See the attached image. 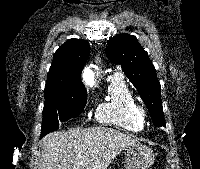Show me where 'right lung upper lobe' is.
<instances>
[{
	"instance_id": "obj_1",
	"label": "right lung upper lobe",
	"mask_w": 200,
	"mask_h": 169,
	"mask_svg": "<svg viewBox=\"0 0 200 169\" xmlns=\"http://www.w3.org/2000/svg\"><path fill=\"white\" fill-rule=\"evenodd\" d=\"M85 40L70 39L55 52L45 85V99L86 92L81 71L89 58Z\"/></svg>"
}]
</instances>
